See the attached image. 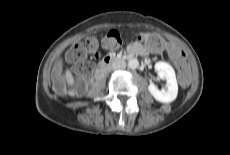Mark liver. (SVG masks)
I'll return each instance as SVG.
<instances>
[{
    "instance_id": "1",
    "label": "liver",
    "mask_w": 230,
    "mask_h": 155,
    "mask_svg": "<svg viewBox=\"0 0 230 155\" xmlns=\"http://www.w3.org/2000/svg\"><path fill=\"white\" fill-rule=\"evenodd\" d=\"M65 79H66V82H67L68 85H74V84H75L73 75H72V73L70 72L69 69H67V70L65 71ZM68 94H69L70 96H74V95H75V92H74V91H69Z\"/></svg>"
}]
</instances>
